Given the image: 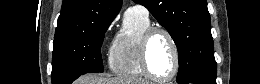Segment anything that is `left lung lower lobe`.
I'll use <instances>...</instances> for the list:
<instances>
[{"label":"left lung lower lobe","instance_id":"left-lung-lower-lobe-1","mask_svg":"<svg viewBox=\"0 0 260 84\" xmlns=\"http://www.w3.org/2000/svg\"><path fill=\"white\" fill-rule=\"evenodd\" d=\"M190 82L194 84H216V80H204V79H196Z\"/></svg>","mask_w":260,"mask_h":84}]
</instances>
